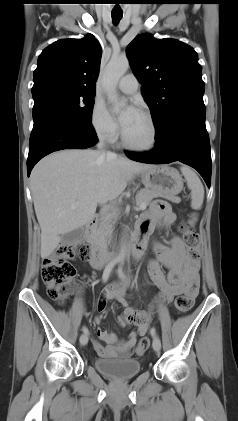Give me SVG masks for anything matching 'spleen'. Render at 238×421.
<instances>
[{"label": "spleen", "mask_w": 238, "mask_h": 421, "mask_svg": "<svg viewBox=\"0 0 238 421\" xmlns=\"http://www.w3.org/2000/svg\"><path fill=\"white\" fill-rule=\"evenodd\" d=\"M182 175L187 181V186L191 190V207L198 210L202 207L204 200V187L196 173L189 167L182 166L180 168ZM197 218L193 216V221Z\"/></svg>", "instance_id": "3e777b00"}]
</instances>
